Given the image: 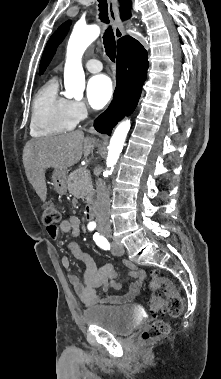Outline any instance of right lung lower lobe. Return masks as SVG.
<instances>
[{
    "instance_id": "1",
    "label": "right lung lower lobe",
    "mask_w": 221,
    "mask_h": 379,
    "mask_svg": "<svg viewBox=\"0 0 221 379\" xmlns=\"http://www.w3.org/2000/svg\"><path fill=\"white\" fill-rule=\"evenodd\" d=\"M148 66L147 51L139 41L130 36L118 41L116 89L111 104L94 123L98 132L110 135L116 123L134 111Z\"/></svg>"
}]
</instances>
